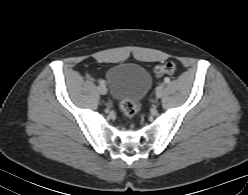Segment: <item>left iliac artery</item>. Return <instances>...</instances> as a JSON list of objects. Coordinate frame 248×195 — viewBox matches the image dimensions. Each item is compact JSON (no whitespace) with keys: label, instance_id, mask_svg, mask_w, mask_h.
<instances>
[{"label":"left iliac artery","instance_id":"left-iliac-artery-1","mask_svg":"<svg viewBox=\"0 0 248 195\" xmlns=\"http://www.w3.org/2000/svg\"><path fill=\"white\" fill-rule=\"evenodd\" d=\"M164 82L168 84V83L170 82V79H169L168 77H166V78L164 79Z\"/></svg>","mask_w":248,"mask_h":195}]
</instances>
